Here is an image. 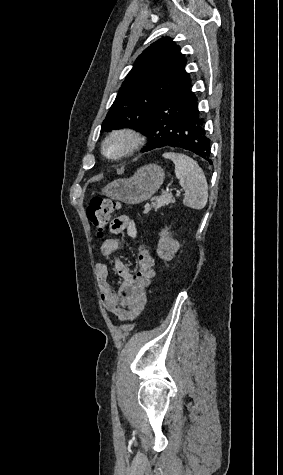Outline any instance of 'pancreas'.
Returning <instances> with one entry per match:
<instances>
[{
	"label": "pancreas",
	"mask_w": 283,
	"mask_h": 475,
	"mask_svg": "<svg viewBox=\"0 0 283 475\" xmlns=\"http://www.w3.org/2000/svg\"><path fill=\"white\" fill-rule=\"evenodd\" d=\"M175 198H173L172 194H163V196H159L156 198L155 202H152V206H145L144 214H148L151 208H154L155 212L162 208V206H168V204H174Z\"/></svg>",
	"instance_id": "pancreas-1"
}]
</instances>
